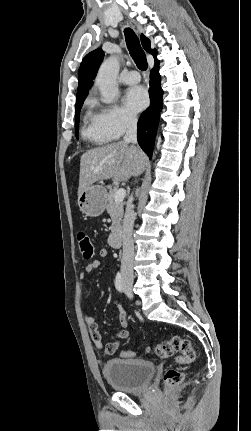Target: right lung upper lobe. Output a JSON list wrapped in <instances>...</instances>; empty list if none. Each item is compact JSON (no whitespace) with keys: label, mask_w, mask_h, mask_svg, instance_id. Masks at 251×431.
Here are the masks:
<instances>
[{"label":"right lung upper lobe","mask_w":251,"mask_h":431,"mask_svg":"<svg viewBox=\"0 0 251 431\" xmlns=\"http://www.w3.org/2000/svg\"><path fill=\"white\" fill-rule=\"evenodd\" d=\"M141 43L143 48L147 52L153 54L156 60L157 52L151 49L150 40L147 37H145L143 34H141ZM103 57H104L103 50L101 48H98L90 52L83 58L78 71L79 85H78V92L76 94V100L86 98L88 91L93 84V80L95 79L99 66L103 60Z\"/></svg>","instance_id":"right-lung-upper-lobe-1"}]
</instances>
